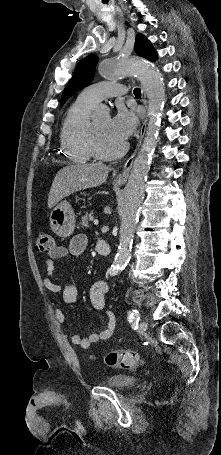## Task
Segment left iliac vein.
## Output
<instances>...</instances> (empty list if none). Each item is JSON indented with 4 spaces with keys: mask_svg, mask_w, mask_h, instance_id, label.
I'll return each mask as SVG.
<instances>
[{
    "mask_svg": "<svg viewBox=\"0 0 221 455\" xmlns=\"http://www.w3.org/2000/svg\"><path fill=\"white\" fill-rule=\"evenodd\" d=\"M148 328V324L146 321H141L139 324V331L140 332H145Z\"/></svg>",
    "mask_w": 221,
    "mask_h": 455,
    "instance_id": "left-iliac-vein-1",
    "label": "left iliac vein"
}]
</instances>
